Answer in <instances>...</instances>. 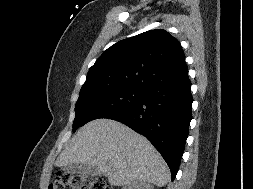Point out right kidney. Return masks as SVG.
<instances>
[{"mask_svg":"<svg viewBox=\"0 0 253 189\" xmlns=\"http://www.w3.org/2000/svg\"><path fill=\"white\" fill-rule=\"evenodd\" d=\"M122 189H153V186L148 182L136 180L127 184Z\"/></svg>","mask_w":253,"mask_h":189,"instance_id":"obj_1","label":"right kidney"}]
</instances>
